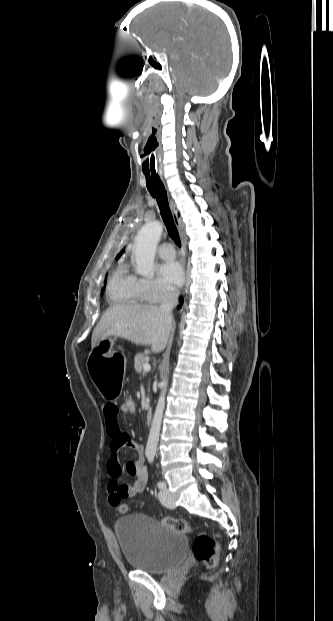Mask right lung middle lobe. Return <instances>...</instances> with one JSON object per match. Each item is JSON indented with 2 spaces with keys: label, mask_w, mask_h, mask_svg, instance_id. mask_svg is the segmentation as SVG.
Segmentation results:
<instances>
[{
  "label": "right lung middle lobe",
  "mask_w": 333,
  "mask_h": 621,
  "mask_svg": "<svg viewBox=\"0 0 333 621\" xmlns=\"http://www.w3.org/2000/svg\"><path fill=\"white\" fill-rule=\"evenodd\" d=\"M104 288H105V286H104ZM104 288L102 289V292H101V294H103V292H104Z\"/></svg>",
  "instance_id": "1"
}]
</instances>
